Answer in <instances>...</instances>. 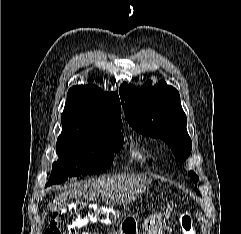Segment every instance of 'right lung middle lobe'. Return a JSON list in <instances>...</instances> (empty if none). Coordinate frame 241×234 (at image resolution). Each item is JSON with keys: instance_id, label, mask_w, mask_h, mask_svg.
Masks as SVG:
<instances>
[{"instance_id": "right-lung-middle-lobe-1", "label": "right lung middle lobe", "mask_w": 241, "mask_h": 234, "mask_svg": "<svg viewBox=\"0 0 241 234\" xmlns=\"http://www.w3.org/2000/svg\"><path fill=\"white\" fill-rule=\"evenodd\" d=\"M62 133L56 143L59 156L46 186L68 177L106 172L124 143L120 129L84 128L61 117Z\"/></svg>"}]
</instances>
